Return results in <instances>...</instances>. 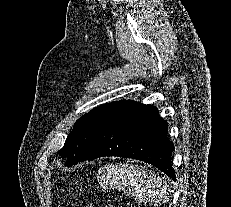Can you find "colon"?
Returning <instances> with one entry per match:
<instances>
[{
  "mask_svg": "<svg viewBox=\"0 0 231 207\" xmlns=\"http://www.w3.org/2000/svg\"><path fill=\"white\" fill-rule=\"evenodd\" d=\"M106 207H113V206L109 205V206H106Z\"/></svg>",
  "mask_w": 231,
  "mask_h": 207,
  "instance_id": "5ec220e1",
  "label": "colon"
}]
</instances>
